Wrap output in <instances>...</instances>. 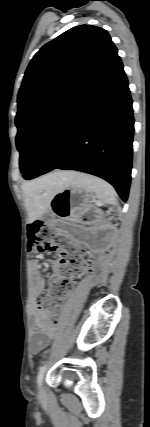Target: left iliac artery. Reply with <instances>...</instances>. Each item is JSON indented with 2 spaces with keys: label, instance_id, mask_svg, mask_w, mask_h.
<instances>
[{
  "label": "left iliac artery",
  "instance_id": "44dca946",
  "mask_svg": "<svg viewBox=\"0 0 150 427\" xmlns=\"http://www.w3.org/2000/svg\"><path fill=\"white\" fill-rule=\"evenodd\" d=\"M45 370H46V365H43V366L40 368V370H39V373H38V376H37V382H38V384H39V385H40V384H41V382H42V379H43V376H44Z\"/></svg>",
  "mask_w": 150,
  "mask_h": 427
}]
</instances>
